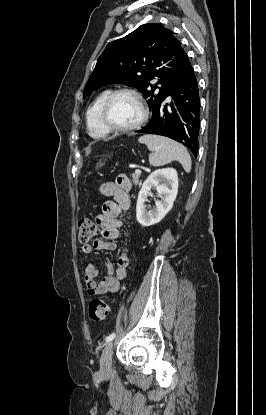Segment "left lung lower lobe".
I'll return each mask as SVG.
<instances>
[{
  "label": "left lung lower lobe",
  "mask_w": 266,
  "mask_h": 415,
  "mask_svg": "<svg viewBox=\"0 0 266 415\" xmlns=\"http://www.w3.org/2000/svg\"><path fill=\"white\" fill-rule=\"evenodd\" d=\"M173 101L152 112L149 123L137 132L169 137L185 145L196 157L200 128V98L194 69L188 60L168 92ZM167 95V96H168Z\"/></svg>",
  "instance_id": "obj_1"
}]
</instances>
